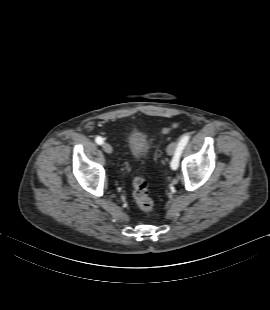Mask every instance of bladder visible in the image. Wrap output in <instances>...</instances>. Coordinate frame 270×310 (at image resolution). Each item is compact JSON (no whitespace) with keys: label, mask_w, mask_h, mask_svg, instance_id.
<instances>
[{"label":"bladder","mask_w":270,"mask_h":310,"mask_svg":"<svg viewBox=\"0 0 270 310\" xmlns=\"http://www.w3.org/2000/svg\"><path fill=\"white\" fill-rule=\"evenodd\" d=\"M127 144L130 154L135 158L146 155L150 147L146 135L138 130L129 133Z\"/></svg>","instance_id":"31cf9c89"}]
</instances>
